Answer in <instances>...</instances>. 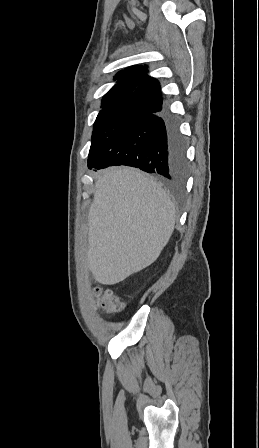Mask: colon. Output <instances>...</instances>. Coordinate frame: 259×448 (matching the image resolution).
<instances>
[{
	"label": "colon",
	"instance_id": "colon-1",
	"mask_svg": "<svg viewBox=\"0 0 259 448\" xmlns=\"http://www.w3.org/2000/svg\"><path fill=\"white\" fill-rule=\"evenodd\" d=\"M97 305L108 313H119L125 308L124 303L108 290H96Z\"/></svg>",
	"mask_w": 259,
	"mask_h": 448
}]
</instances>
